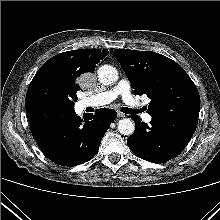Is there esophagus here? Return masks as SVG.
Here are the masks:
<instances>
[{"label": "esophagus", "mask_w": 220, "mask_h": 220, "mask_svg": "<svg viewBox=\"0 0 220 220\" xmlns=\"http://www.w3.org/2000/svg\"><path fill=\"white\" fill-rule=\"evenodd\" d=\"M117 116L118 117H125V114L121 111H117Z\"/></svg>", "instance_id": "obj_1"}]
</instances>
